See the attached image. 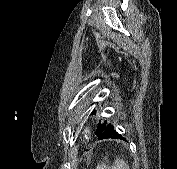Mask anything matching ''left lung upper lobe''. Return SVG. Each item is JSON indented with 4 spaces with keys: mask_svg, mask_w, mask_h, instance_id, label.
<instances>
[{
    "mask_svg": "<svg viewBox=\"0 0 177 169\" xmlns=\"http://www.w3.org/2000/svg\"><path fill=\"white\" fill-rule=\"evenodd\" d=\"M110 125L111 124H107L106 122H104L102 124L99 123L98 127H97V131L95 133L97 135V137H99L100 135H102L105 132V130H106L107 127L109 129Z\"/></svg>",
    "mask_w": 177,
    "mask_h": 169,
    "instance_id": "left-lung-upper-lobe-1",
    "label": "left lung upper lobe"
}]
</instances>
